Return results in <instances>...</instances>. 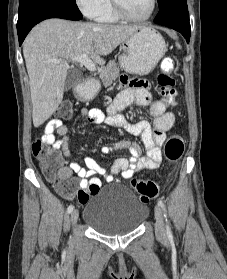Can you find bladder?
Instances as JSON below:
<instances>
[{"label":"bladder","mask_w":227,"mask_h":279,"mask_svg":"<svg viewBox=\"0 0 227 279\" xmlns=\"http://www.w3.org/2000/svg\"><path fill=\"white\" fill-rule=\"evenodd\" d=\"M148 212L132 190L118 185L107 193L92 194L85 203L83 221L100 234L117 236L136 230Z\"/></svg>","instance_id":"obj_1"}]
</instances>
